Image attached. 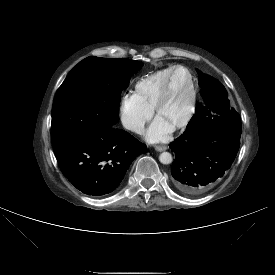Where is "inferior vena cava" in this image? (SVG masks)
<instances>
[{
  "instance_id": "obj_1",
  "label": "inferior vena cava",
  "mask_w": 275,
  "mask_h": 275,
  "mask_svg": "<svg viewBox=\"0 0 275 275\" xmlns=\"http://www.w3.org/2000/svg\"><path fill=\"white\" fill-rule=\"evenodd\" d=\"M127 129L141 133L144 125L142 123H126L124 125Z\"/></svg>"
}]
</instances>
